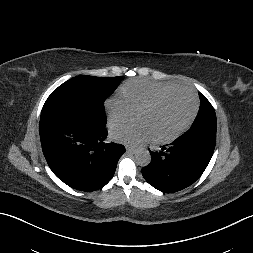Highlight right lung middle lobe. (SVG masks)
<instances>
[{"label":"right lung middle lobe","mask_w":253,"mask_h":253,"mask_svg":"<svg viewBox=\"0 0 253 253\" xmlns=\"http://www.w3.org/2000/svg\"><path fill=\"white\" fill-rule=\"evenodd\" d=\"M121 80L120 76L73 77L50 94L43 106L41 117L64 114L105 127L104 101L116 90Z\"/></svg>","instance_id":"right-lung-middle-lobe-1"}]
</instances>
